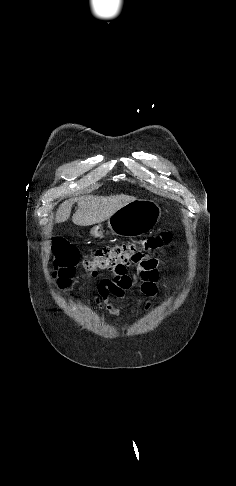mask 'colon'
<instances>
[{
    "label": "colon",
    "instance_id": "obj_1",
    "mask_svg": "<svg viewBox=\"0 0 236 486\" xmlns=\"http://www.w3.org/2000/svg\"><path fill=\"white\" fill-rule=\"evenodd\" d=\"M171 241L167 232L152 236L136 243H123L97 249L93 255L83 260V268L87 276L94 277L99 270H119L123 265L133 263L143 258L145 254L156 252ZM54 272L53 277L59 288L70 286L79 262L77 248L64 240L53 242Z\"/></svg>",
    "mask_w": 236,
    "mask_h": 486
}]
</instances>
